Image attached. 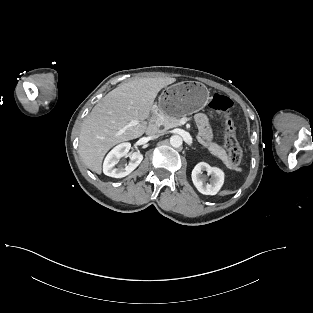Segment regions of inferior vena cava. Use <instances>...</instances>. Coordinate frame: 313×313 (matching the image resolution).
Returning <instances> with one entry per match:
<instances>
[{"instance_id":"1","label":"inferior vena cava","mask_w":313,"mask_h":313,"mask_svg":"<svg viewBox=\"0 0 313 313\" xmlns=\"http://www.w3.org/2000/svg\"><path fill=\"white\" fill-rule=\"evenodd\" d=\"M147 132H148L149 136L151 137V139H156V138H158L164 134L163 131L152 130V129L148 130Z\"/></svg>"}]
</instances>
